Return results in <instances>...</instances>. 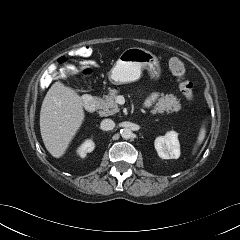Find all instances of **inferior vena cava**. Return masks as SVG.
<instances>
[{
  "label": "inferior vena cava",
  "instance_id": "602c4592",
  "mask_svg": "<svg viewBox=\"0 0 240 240\" xmlns=\"http://www.w3.org/2000/svg\"><path fill=\"white\" fill-rule=\"evenodd\" d=\"M101 129L102 130H112L115 127V123L111 119H104L101 121Z\"/></svg>",
  "mask_w": 240,
  "mask_h": 240
}]
</instances>
